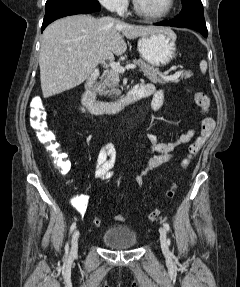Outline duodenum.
<instances>
[{"label":"duodenum","instance_id":"1","mask_svg":"<svg viewBox=\"0 0 240 287\" xmlns=\"http://www.w3.org/2000/svg\"><path fill=\"white\" fill-rule=\"evenodd\" d=\"M99 76V72L95 70L90 78L83 85L82 103L93 114L117 113L127 105L145 98L147 94L142 90L140 84L133 86L126 94L115 100H98L93 92L92 86Z\"/></svg>","mask_w":240,"mask_h":287}]
</instances>
